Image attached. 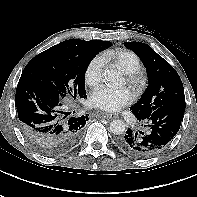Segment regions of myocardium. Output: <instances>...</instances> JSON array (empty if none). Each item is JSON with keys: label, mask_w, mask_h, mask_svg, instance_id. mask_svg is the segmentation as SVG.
<instances>
[{"label": "myocardium", "mask_w": 197, "mask_h": 197, "mask_svg": "<svg viewBox=\"0 0 197 197\" xmlns=\"http://www.w3.org/2000/svg\"><path fill=\"white\" fill-rule=\"evenodd\" d=\"M127 82L136 93H141L145 84V80L140 72L127 74Z\"/></svg>", "instance_id": "myocardium-1"}]
</instances>
